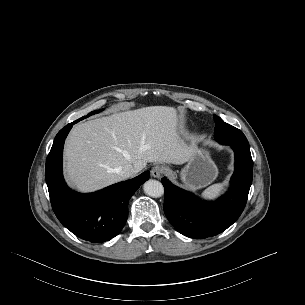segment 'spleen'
<instances>
[{
  "label": "spleen",
  "mask_w": 305,
  "mask_h": 305,
  "mask_svg": "<svg viewBox=\"0 0 305 305\" xmlns=\"http://www.w3.org/2000/svg\"><path fill=\"white\" fill-rule=\"evenodd\" d=\"M223 190L224 183L213 184L202 193V197L205 199H214L218 197Z\"/></svg>",
  "instance_id": "1"
}]
</instances>
